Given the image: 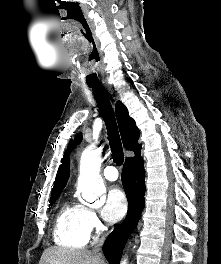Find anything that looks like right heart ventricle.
<instances>
[{"label":"right heart ventricle","mask_w":221,"mask_h":264,"mask_svg":"<svg viewBox=\"0 0 221 264\" xmlns=\"http://www.w3.org/2000/svg\"><path fill=\"white\" fill-rule=\"evenodd\" d=\"M87 209L73 201H66L60 208L53 230L56 244L64 247L82 248L90 238L86 222Z\"/></svg>","instance_id":"obj_1"}]
</instances>
